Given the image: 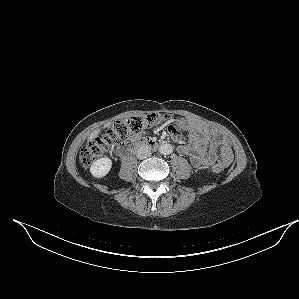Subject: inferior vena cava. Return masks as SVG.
I'll return each instance as SVG.
<instances>
[{
	"label": "inferior vena cava",
	"instance_id": "602c4592",
	"mask_svg": "<svg viewBox=\"0 0 299 299\" xmlns=\"http://www.w3.org/2000/svg\"><path fill=\"white\" fill-rule=\"evenodd\" d=\"M151 156V149L147 145H142L137 150V158L138 159H146Z\"/></svg>",
	"mask_w": 299,
	"mask_h": 299
}]
</instances>
